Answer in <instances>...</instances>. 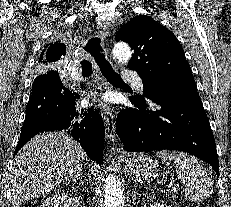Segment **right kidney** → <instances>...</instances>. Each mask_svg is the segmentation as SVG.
Listing matches in <instances>:
<instances>
[{
    "instance_id": "1",
    "label": "right kidney",
    "mask_w": 231,
    "mask_h": 207,
    "mask_svg": "<svg viewBox=\"0 0 231 207\" xmlns=\"http://www.w3.org/2000/svg\"><path fill=\"white\" fill-rule=\"evenodd\" d=\"M80 203L77 197H72L66 193H58L48 197L41 207H79Z\"/></svg>"
}]
</instances>
